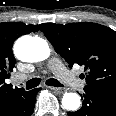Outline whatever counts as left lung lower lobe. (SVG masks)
Returning a JSON list of instances; mask_svg holds the SVG:
<instances>
[{"mask_svg": "<svg viewBox=\"0 0 116 116\" xmlns=\"http://www.w3.org/2000/svg\"><path fill=\"white\" fill-rule=\"evenodd\" d=\"M84 91L81 109L68 116H116V91L89 87Z\"/></svg>", "mask_w": 116, "mask_h": 116, "instance_id": "obj_1", "label": "left lung lower lobe"}]
</instances>
